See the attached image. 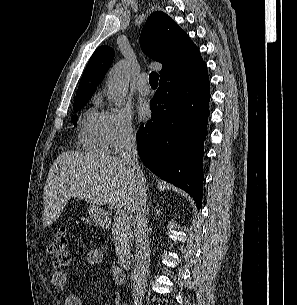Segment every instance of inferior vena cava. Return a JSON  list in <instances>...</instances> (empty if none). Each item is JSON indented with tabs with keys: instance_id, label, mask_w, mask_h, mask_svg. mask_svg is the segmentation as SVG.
<instances>
[{
	"instance_id": "602c4592",
	"label": "inferior vena cava",
	"mask_w": 297,
	"mask_h": 305,
	"mask_svg": "<svg viewBox=\"0 0 297 305\" xmlns=\"http://www.w3.org/2000/svg\"><path fill=\"white\" fill-rule=\"evenodd\" d=\"M120 157L126 162L129 172L133 174L136 180L135 195L131 205L132 212H134L133 227L136 238L133 300L139 304L142 302L146 291L151 250L146 219L145 178L139 167L136 138L131 128H125L121 132Z\"/></svg>"
}]
</instances>
